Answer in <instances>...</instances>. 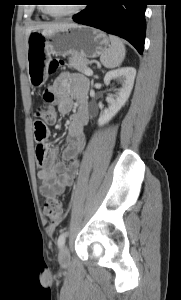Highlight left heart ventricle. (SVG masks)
Returning <instances> with one entry per match:
<instances>
[{
    "label": "left heart ventricle",
    "mask_w": 181,
    "mask_h": 300,
    "mask_svg": "<svg viewBox=\"0 0 181 300\" xmlns=\"http://www.w3.org/2000/svg\"><path fill=\"white\" fill-rule=\"evenodd\" d=\"M52 2L58 3V4H64V5H51V6H49L51 11H53L54 13H64V12L70 11L71 9L74 8L73 5L69 4V3H72L73 1L52 0Z\"/></svg>",
    "instance_id": "left-heart-ventricle-1"
}]
</instances>
